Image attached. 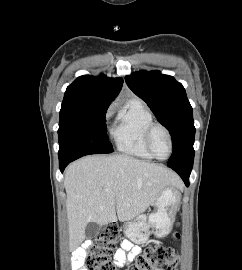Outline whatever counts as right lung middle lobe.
I'll use <instances>...</instances> for the list:
<instances>
[{"mask_svg": "<svg viewBox=\"0 0 242 270\" xmlns=\"http://www.w3.org/2000/svg\"><path fill=\"white\" fill-rule=\"evenodd\" d=\"M107 109L60 110L59 162L75 160L87 154L113 152L105 131Z\"/></svg>", "mask_w": 242, "mask_h": 270, "instance_id": "obj_1", "label": "right lung middle lobe"}]
</instances>
